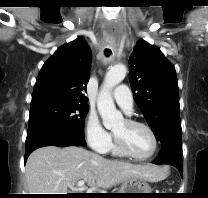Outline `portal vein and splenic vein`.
Masks as SVG:
<instances>
[{"label":"portal vein and splenic vein","mask_w":208,"mask_h":198,"mask_svg":"<svg viewBox=\"0 0 208 198\" xmlns=\"http://www.w3.org/2000/svg\"><path fill=\"white\" fill-rule=\"evenodd\" d=\"M85 182H86V179L80 180L77 182V186L79 187V189H84Z\"/></svg>","instance_id":"portal-vein-and-splenic-vein-1"}]
</instances>
